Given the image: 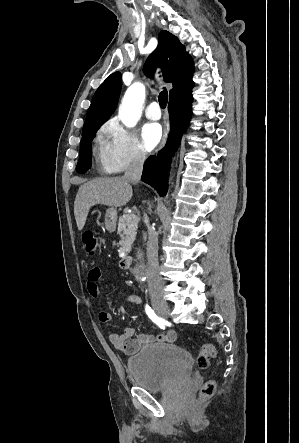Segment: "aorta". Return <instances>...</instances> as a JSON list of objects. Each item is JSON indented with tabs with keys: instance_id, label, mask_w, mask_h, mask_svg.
Returning a JSON list of instances; mask_svg holds the SVG:
<instances>
[{
	"instance_id": "762f6f07",
	"label": "aorta",
	"mask_w": 299,
	"mask_h": 443,
	"mask_svg": "<svg viewBox=\"0 0 299 443\" xmlns=\"http://www.w3.org/2000/svg\"><path fill=\"white\" fill-rule=\"evenodd\" d=\"M145 100V86L141 83L132 84L126 91L119 109V118L127 127H134L141 116Z\"/></svg>"
}]
</instances>
